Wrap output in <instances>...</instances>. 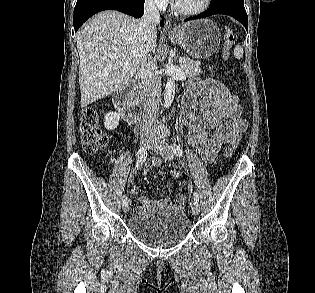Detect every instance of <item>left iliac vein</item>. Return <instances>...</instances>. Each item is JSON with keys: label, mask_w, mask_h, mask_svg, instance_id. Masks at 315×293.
Wrapping results in <instances>:
<instances>
[{"label": "left iliac vein", "mask_w": 315, "mask_h": 293, "mask_svg": "<svg viewBox=\"0 0 315 293\" xmlns=\"http://www.w3.org/2000/svg\"><path fill=\"white\" fill-rule=\"evenodd\" d=\"M150 148L159 153L167 161H171L174 157L171 146L156 137L152 139ZM191 210L195 215L199 214L200 205L198 201L194 199L191 201Z\"/></svg>", "instance_id": "left-iliac-vein-1"}]
</instances>
